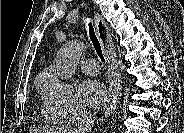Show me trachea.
I'll use <instances>...</instances> for the list:
<instances>
[{
    "mask_svg": "<svg viewBox=\"0 0 184 133\" xmlns=\"http://www.w3.org/2000/svg\"><path fill=\"white\" fill-rule=\"evenodd\" d=\"M89 36H90V40L92 41V44L95 48V51L97 52L98 56L100 57L102 62H105L104 56H103V52H102V46L101 43L99 41V39L97 38L94 28L92 27V24L89 23Z\"/></svg>",
    "mask_w": 184,
    "mask_h": 133,
    "instance_id": "obj_1",
    "label": "trachea"
}]
</instances>
